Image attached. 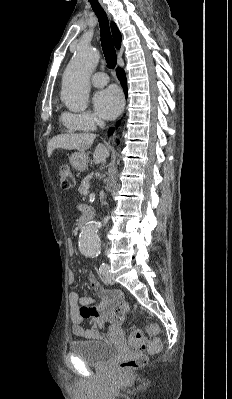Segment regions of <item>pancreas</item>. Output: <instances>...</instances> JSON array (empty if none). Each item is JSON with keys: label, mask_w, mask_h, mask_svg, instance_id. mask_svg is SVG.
<instances>
[{"label": "pancreas", "mask_w": 232, "mask_h": 399, "mask_svg": "<svg viewBox=\"0 0 232 399\" xmlns=\"http://www.w3.org/2000/svg\"><path fill=\"white\" fill-rule=\"evenodd\" d=\"M88 188H89V178H84V180H82V182L78 188L79 194H84V192H86V190H88Z\"/></svg>", "instance_id": "pancreas-1"}]
</instances>
